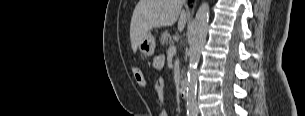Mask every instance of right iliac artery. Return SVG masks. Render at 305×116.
Returning a JSON list of instances; mask_svg holds the SVG:
<instances>
[{"label": "right iliac artery", "mask_w": 305, "mask_h": 116, "mask_svg": "<svg viewBox=\"0 0 305 116\" xmlns=\"http://www.w3.org/2000/svg\"><path fill=\"white\" fill-rule=\"evenodd\" d=\"M188 116H195V114H188Z\"/></svg>", "instance_id": "obj_1"}]
</instances>
